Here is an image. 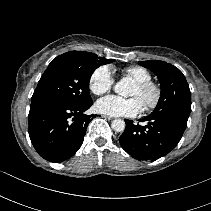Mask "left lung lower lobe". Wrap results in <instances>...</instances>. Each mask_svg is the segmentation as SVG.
<instances>
[{
	"label": "left lung lower lobe",
	"mask_w": 211,
	"mask_h": 211,
	"mask_svg": "<svg viewBox=\"0 0 211 211\" xmlns=\"http://www.w3.org/2000/svg\"><path fill=\"white\" fill-rule=\"evenodd\" d=\"M187 120L170 112L151 113L140 120L148 123L145 126L125 120L126 128L119 142L131 156L154 161L177 146L186 129Z\"/></svg>",
	"instance_id": "left-lung-lower-lobe-1"
}]
</instances>
